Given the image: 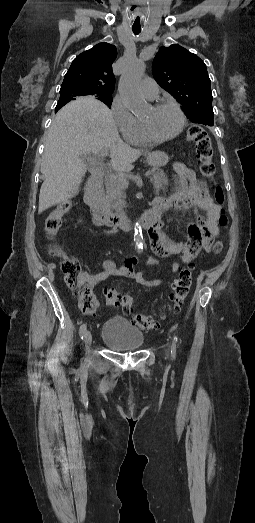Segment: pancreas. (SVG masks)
Wrapping results in <instances>:
<instances>
[{
  "mask_svg": "<svg viewBox=\"0 0 255 523\" xmlns=\"http://www.w3.org/2000/svg\"><path fill=\"white\" fill-rule=\"evenodd\" d=\"M151 176L154 190L156 194H160V192L165 190V186H168L167 176L164 174L163 170H152ZM104 180L106 186V200L109 204V208L110 210H114L115 214H121L123 208L126 206V194L124 192L125 186H123L126 176H124V174L108 175L105 176Z\"/></svg>",
  "mask_w": 255,
  "mask_h": 523,
  "instance_id": "1",
  "label": "pancreas"
}]
</instances>
